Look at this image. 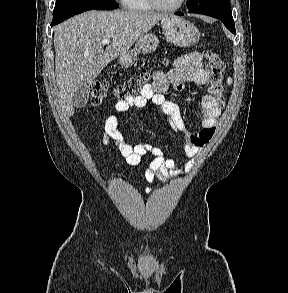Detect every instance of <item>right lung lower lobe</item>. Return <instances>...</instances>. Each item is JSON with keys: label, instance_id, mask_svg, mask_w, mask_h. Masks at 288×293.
I'll use <instances>...</instances> for the list:
<instances>
[{"label": "right lung lower lobe", "instance_id": "1", "mask_svg": "<svg viewBox=\"0 0 288 293\" xmlns=\"http://www.w3.org/2000/svg\"><path fill=\"white\" fill-rule=\"evenodd\" d=\"M54 25H56V23H51V26H54Z\"/></svg>", "mask_w": 288, "mask_h": 293}]
</instances>
